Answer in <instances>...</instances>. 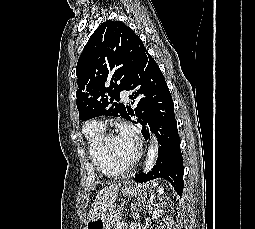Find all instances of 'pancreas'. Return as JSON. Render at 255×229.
<instances>
[{"label":"pancreas","mask_w":255,"mask_h":229,"mask_svg":"<svg viewBox=\"0 0 255 229\" xmlns=\"http://www.w3.org/2000/svg\"><path fill=\"white\" fill-rule=\"evenodd\" d=\"M113 229H127V228H126V227L120 226L119 223L117 222V223L114 225Z\"/></svg>","instance_id":"pancreas-1"}]
</instances>
